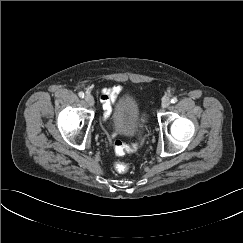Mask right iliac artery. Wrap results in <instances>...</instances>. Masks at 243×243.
<instances>
[{"instance_id":"82829eb1","label":"right iliac artery","mask_w":243,"mask_h":243,"mask_svg":"<svg viewBox=\"0 0 243 243\" xmlns=\"http://www.w3.org/2000/svg\"><path fill=\"white\" fill-rule=\"evenodd\" d=\"M78 95H79V97H80V98H83V97H84V93H83L82 91H81V92H79V94H78Z\"/></svg>"}]
</instances>
